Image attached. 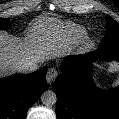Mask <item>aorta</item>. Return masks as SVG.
<instances>
[{
  "mask_svg": "<svg viewBox=\"0 0 119 119\" xmlns=\"http://www.w3.org/2000/svg\"><path fill=\"white\" fill-rule=\"evenodd\" d=\"M41 102L46 106H52L57 102V96L54 91L47 90L41 95Z\"/></svg>",
  "mask_w": 119,
  "mask_h": 119,
  "instance_id": "obj_1",
  "label": "aorta"
}]
</instances>
